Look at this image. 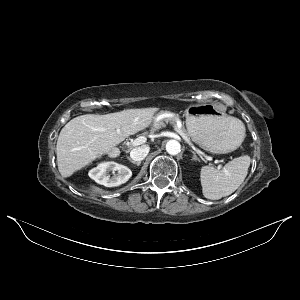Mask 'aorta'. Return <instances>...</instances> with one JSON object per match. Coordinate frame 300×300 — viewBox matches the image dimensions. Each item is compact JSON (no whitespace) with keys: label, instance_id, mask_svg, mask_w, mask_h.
<instances>
[{"label":"aorta","instance_id":"obj_1","mask_svg":"<svg viewBox=\"0 0 300 300\" xmlns=\"http://www.w3.org/2000/svg\"><path fill=\"white\" fill-rule=\"evenodd\" d=\"M166 151L170 155H177L181 152V145L177 140H169L166 143Z\"/></svg>","mask_w":300,"mask_h":300}]
</instances>
